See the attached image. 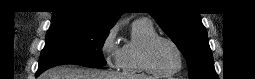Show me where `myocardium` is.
<instances>
[{
    "label": "myocardium",
    "mask_w": 255,
    "mask_h": 79,
    "mask_svg": "<svg viewBox=\"0 0 255 79\" xmlns=\"http://www.w3.org/2000/svg\"><path fill=\"white\" fill-rule=\"evenodd\" d=\"M158 41H165L168 42L169 44L172 45V47L176 50L179 58L178 66L171 71H161L157 69L151 62V50L153 46L158 42ZM142 63L144 68L151 74L154 75H160V76H168V75H174L181 71L183 68V63H184V56L181 48L179 45L172 39L162 36V35H155L152 38H150L144 45L143 50H142Z\"/></svg>",
    "instance_id": "myocardium-1"
}]
</instances>
